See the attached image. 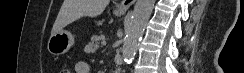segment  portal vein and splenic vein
Instances as JSON below:
<instances>
[{"mask_svg": "<svg viewBox=\"0 0 244 73\" xmlns=\"http://www.w3.org/2000/svg\"><path fill=\"white\" fill-rule=\"evenodd\" d=\"M101 45H102V46H106V41H102V42H101Z\"/></svg>", "mask_w": 244, "mask_h": 73, "instance_id": "1", "label": "portal vein and splenic vein"}]
</instances>
